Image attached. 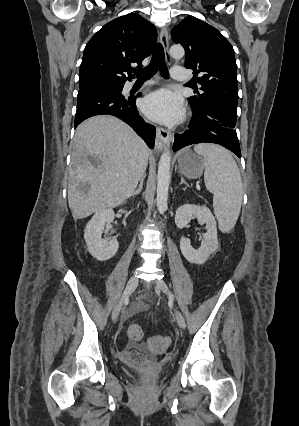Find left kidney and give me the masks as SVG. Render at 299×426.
I'll return each mask as SVG.
<instances>
[{"mask_svg": "<svg viewBox=\"0 0 299 426\" xmlns=\"http://www.w3.org/2000/svg\"><path fill=\"white\" fill-rule=\"evenodd\" d=\"M193 217H196L199 222L206 224L207 232L203 234L204 240L198 249H194L188 238L181 237L180 249L188 262L203 264L218 248L216 220L206 206L185 204L177 209L175 224L179 229H182Z\"/></svg>", "mask_w": 299, "mask_h": 426, "instance_id": "5707ae66", "label": "left kidney"}]
</instances>
